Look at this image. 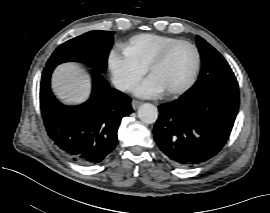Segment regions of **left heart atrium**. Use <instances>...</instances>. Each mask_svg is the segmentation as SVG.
Masks as SVG:
<instances>
[{
  "instance_id": "39dd6f15",
  "label": "left heart atrium",
  "mask_w": 270,
  "mask_h": 213,
  "mask_svg": "<svg viewBox=\"0 0 270 213\" xmlns=\"http://www.w3.org/2000/svg\"><path fill=\"white\" fill-rule=\"evenodd\" d=\"M163 92L161 86L151 76L136 89V95L143 98H156Z\"/></svg>"
}]
</instances>
